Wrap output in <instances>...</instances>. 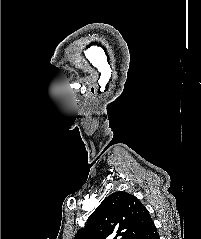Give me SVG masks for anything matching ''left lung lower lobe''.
I'll use <instances>...</instances> for the list:
<instances>
[{"label": "left lung lower lobe", "instance_id": "0a47b994", "mask_svg": "<svg viewBox=\"0 0 201 239\" xmlns=\"http://www.w3.org/2000/svg\"><path fill=\"white\" fill-rule=\"evenodd\" d=\"M135 239H159V234L152 219Z\"/></svg>", "mask_w": 201, "mask_h": 239}]
</instances>
